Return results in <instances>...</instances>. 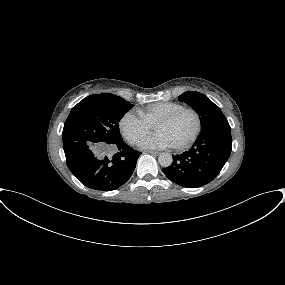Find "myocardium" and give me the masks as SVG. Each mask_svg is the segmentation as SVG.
<instances>
[{"instance_id":"obj_1","label":"myocardium","mask_w":285,"mask_h":285,"mask_svg":"<svg viewBox=\"0 0 285 285\" xmlns=\"http://www.w3.org/2000/svg\"><path fill=\"white\" fill-rule=\"evenodd\" d=\"M184 112H191L195 116L196 128H195L193 134L185 142H183L182 144H180L178 146H173V148L177 151H181V150L188 148L199 137L201 130H202V118H201L200 113L194 108L182 107V108L175 110V111L165 115L164 117L160 118L154 125V130H155L158 125L169 123Z\"/></svg>"}]
</instances>
